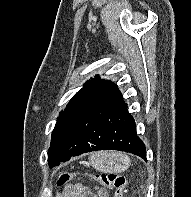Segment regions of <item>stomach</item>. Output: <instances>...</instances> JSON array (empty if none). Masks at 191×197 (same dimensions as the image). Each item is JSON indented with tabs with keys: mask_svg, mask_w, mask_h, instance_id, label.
<instances>
[{
	"mask_svg": "<svg viewBox=\"0 0 191 197\" xmlns=\"http://www.w3.org/2000/svg\"><path fill=\"white\" fill-rule=\"evenodd\" d=\"M130 161L123 154L95 153L89 158V164L97 171L120 173L129 167Z\"/></svg>",
	"mask_w": 191,
	"mask_h": 197,
	"instance_id": "obj_1",
	"label": "stomach"
}]
</instances>
